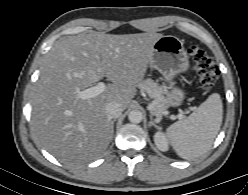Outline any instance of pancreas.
I'll return each instance as SVG.
<instances>
[{
  "mask_svg": "<svg viewBox=\"0 0 248 195\" xmlns=\"http://www.w3.org/2000/svg\"><path fill=\"white\" fill-rule=\"evenodd\" d=\"M139 88L146 92L152 99L151 113L156 117H162L166 114V110L169 107L168 101L164 96L163 87L152 79H146L139 84Z\"/></svg>",
  "mask_w": 248,
  "mask_h": 195,
  "instance_id": "1",
  "label": "pancreas"
}]
</instances>
